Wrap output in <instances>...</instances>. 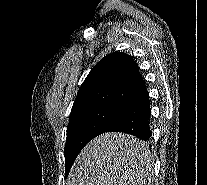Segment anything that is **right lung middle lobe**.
I'll return each mask as SVG.
<instances>
[{
    "label": "right lung middle lobe",
    "instance_id": "dd1d6c3e",
    "mask_svg": "<svg viewBox=\"0 0 207 185\" xmlns=\"http://www.w3.org/2000/svg\"><path fill=\"white\" fill-rule=\"evenodd\" d=\"M121 113L122 110L116 108L95 107L70 115L64 149L66 176L82 148L104 133Z\"/></svg>",
    "mask_w": 207,
    "mask_h": 185
}]
</instances>
